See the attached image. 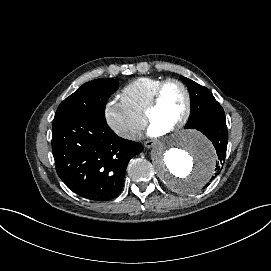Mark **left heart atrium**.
Instances as JSON below:
<instances>
[{"label": "left heart atrium", "instance_id": "1", "mask_svg": "<svg viewBox=\"0 0 271 271\" xmlns=\"http://www.w3.org/2000/svg\"><path fill=\"white\" fill-rule=\"evenodd\" d=\"M167 131L161 129L155 124H150L149 129H148V135L151 137H159L165 134Z\"/></svg>", "mask_w": 271, "mask_h": 271}]
</instances>
